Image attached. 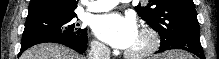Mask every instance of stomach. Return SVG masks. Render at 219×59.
I'll return each instance as SVG.
<instances>
[{"label":"stomach","mask_w":219,"mask_h":59,"mask_svg":"<svg viewBox=\"0 0 219 59\" xmlns=\"http://www.w3.org/2000/svg\"><path fill=\"white\" fill-rule=\"evenodd\" d=\"M175 53V52H170L168 54H165L163 55L164 58H168V59H171V57L173 56L172 54Z\"/></svg>","instance_id":"0dacf381"}]
</instances>
